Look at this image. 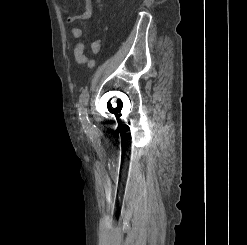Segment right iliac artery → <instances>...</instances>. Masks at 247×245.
<instances>
[{"instance_id": "82829eb1", "label": "right iliac artery", "mask_w": 247, "mask_h": 245, "mask_svg": "<svg viewBox=\"0 0 247 245\" xmlns=\"http://www.w3.org/2000/svg\"><path fill=\"white\" fill-rule=\"evenodd\" d=\"M88 100H89V93L87 89H85L81 93L80 99H79V106H80L79 115H80V120L82 122V125L86 130H89V127H90V121H89L88 113H87Z\"/></svg>"}]
</instances>
